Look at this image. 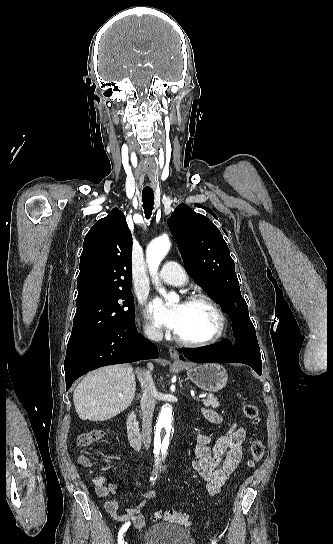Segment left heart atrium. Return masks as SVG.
<instances>
[{"mask_svg": "<svg viewBox=\"0 0 333 544\" xmlns=\"http://www.w3.org/2000/svg\"><path fill=\"white\" fill-rule=\"evenodd\" d=\"M182 312L183 304L167 308L160 299L154 300L149 307L150 316L157 324L174 331H177L180 326Z\"/></svg>", "mask_w": 333, "mask_h": 544, "instance_id": "obj_1", "label": "left heart atrium"}]
</instances>
